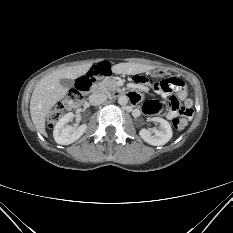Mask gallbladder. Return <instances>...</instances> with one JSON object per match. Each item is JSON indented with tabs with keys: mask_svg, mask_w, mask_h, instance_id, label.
I'll use <instances>...</instances> for the list:
<instances>
[{
	"mask_svg": "<svg viewBox=\"0 0 233 233\" xmlns=\"http://www.w3.org/2000/svg\"><path fill=\"white\" fill-rule=\"evenodd\" d=\"M60 83L63 87L69 89L73 86L74 82L72 79H68V78H63L60 80Z\"/></svg>",
	"mask_w": 233,
	"mask_h": 233,
	"instance_id": "1",
	"label": "gallbladder"
}]
</instances>
